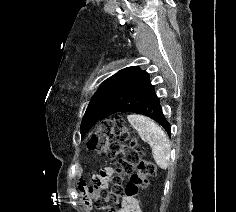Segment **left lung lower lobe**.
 Segmentation results:
<instances>
[{
    "mask_svg": "<svg viewBox=\"0 0 236 212\" xmlns=\"http://www.w3.org/2000/svg\"><path fill=\"white\" fill-rule=\"evenodd\" d=\"M118 112L142 114L157 121L170 134V125L165 119L159 98L151 84L149 74L137 67L118 95L110 102L99 120Z\"/></svg>",
    "mask_w": 236,
    "mask_h": 212,
    "instance_id": "0a47b994",
    "label": "left lung lower lobe"
}]
</instances>
